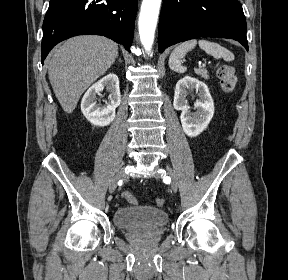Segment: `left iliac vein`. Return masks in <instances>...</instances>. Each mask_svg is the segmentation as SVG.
Wrapping results in <instances>:
<instances>
[{
	"instance_id": "obj_1",
	"label": "left iliac vein",
	"mask_w": 288,
	"mask_h": 280,
	"mask_svg": "<svg viewBox=\"0 0 288 280\" xmlns=\"http://www.w3.org/2000/svg\"><path fill=\"white\" fill-rule=\"evenodd\" d=\"M167 171H168V175L171 177L172 176V171H171V169L170 168H167ZM171 188H172V190L174 191V192H176L177 191V182H176V180L174 179V178H172V180H171Z\"/></svg>"
}]
</instances>
